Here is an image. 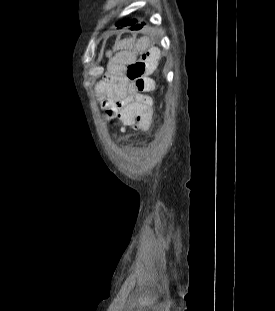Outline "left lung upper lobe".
Returning <instances> with one entry per match:
<instances>
[{
    "mask_svg": "<svg viewBox=\"0 0 275 311\" xmlns=\"http://www.w3.org/2000/svg\"><path fill=\"white\" fill-rule=\"evenodd\" d=\"M134 21H135V19H132V20L126 19V20L118 22L116 24V26L127 27V26L131 25Z\"/></svg>",
    "mask_w": 275,
    "mask_h": 311,
    "instance_id": "left-lung-upper-lobe-1",
    "label": "left lung upper lobe"
}]
</instances>
